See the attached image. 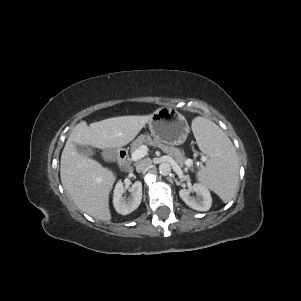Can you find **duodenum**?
Wrapping results in <instances>:
<instances>
[{"label":"duodenum","instance_id":"duodenum-1","mask_svg":"<svg viewBox=\"0 0 301 301\" xmlns=\"http://www.w3.org/2000/svg\"><path fill=\"white\" fill-rule=\"evenodd\" d=\"M104 157L108 163H115L117 160L121 169L125 172H130L132 169L131 162L128 157V153L120 146L107 145L104 148Z\"/></svg>","mask_w":301,"mask_h":301}]
</instances>
